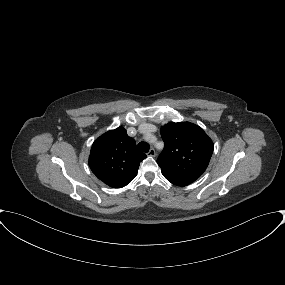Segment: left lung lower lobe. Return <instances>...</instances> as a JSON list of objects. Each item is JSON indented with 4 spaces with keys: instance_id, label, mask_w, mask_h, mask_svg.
<instances>
[{
    "instance_id": "left-lung-lower-lobe-1",
    "label": "left lung lower lobe",
    "mask_w": 285,
    "mask_h": 285,
    "mask_svg": "<svg viewBox=\"0 0 285 285\" xmlns=\"http://www.w3.org/2000/svg\"><path fill=\"white\" fill-rule=\"evenodd\" d=\"M163 176L172 184L177 185V186H187L191 183H193L197 178H190V177H182V176H176V175H171L167 173H163Z\"/></svg>"
}]
</instances>
